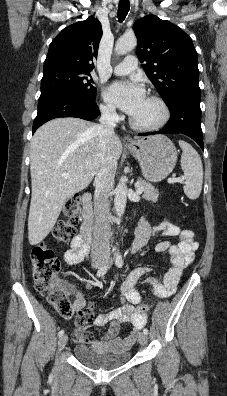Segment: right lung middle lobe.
Instances as JSON below:
<instances>
[{
    "label": "right lung middle lobe",
    "mask_w": 227,
    "mask_h": 396,
    "mask_svg": "<svg viewBox=\"0 0 227 396\" xmlns=\"http://www.w3.org/2000/svg\"><path fill=\"white\" fill-rule=\"evenodd\" d=\"M90 72L55 68L43 71L41 95L55 92L68 93L89 101H95L96 88L89 79Z\"/></svg>",
    "instance_id": "obj_1"
}]
</instances>
